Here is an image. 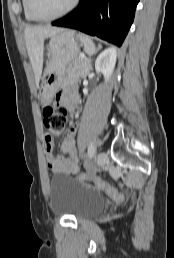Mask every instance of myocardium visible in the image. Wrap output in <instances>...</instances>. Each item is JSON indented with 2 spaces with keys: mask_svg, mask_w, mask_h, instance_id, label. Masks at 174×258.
Listing matches in <instances>:
<instances>
[{
  "mask_svg": "<svg viewBox=\"0 0 174 258\" xmlns=\"http://www.w3.org/2000/svg\"><path fill=\"white\" fill-rule=\"evenodd\" d=\"M79 0H72L70 5L65 9L63 10L62 12L56 14V15H53V16H40L38 15L35 11H34V8L32 6V0H26V3H27V9H28V12L30 13V15L36 19L37 21H45V22H48V21H53V20H56V19H59V18H62L66 15H68L69 13H71L75 7L77 6Z\"/></svg>",
  "mask_w": 174,
  "mask_h": 258,
  "instance_id": "1",
  "label": "myocardium"
}]
</instances>
